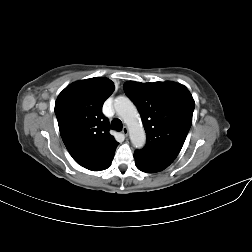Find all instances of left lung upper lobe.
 I'll use <instances>...</instances> for the list:
<instances>
[{"label": "left lung upper lobe", "mask_w": 252, "mask_h": 252, "mask_svg": "<svg viewBox=\"0 0 252 252\" xmlns=\"http://www.w3.org/2000/svg\"><path fill=\"white\" fill-rule=\"evenodd\" d=\"M126 94L140 112L146 132L145 150L161 153L174 160L192 124L195 107L189 90L175 82L124 84Z\"/></svg>", "instance_id": "obj_1"}]
</instances>
